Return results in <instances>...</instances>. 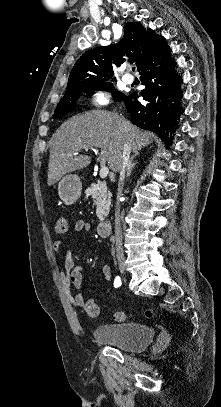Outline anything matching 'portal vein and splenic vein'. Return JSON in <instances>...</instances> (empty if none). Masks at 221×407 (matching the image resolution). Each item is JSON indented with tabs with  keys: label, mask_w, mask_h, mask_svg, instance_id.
I'll use <instances>...</instances> for the list:
<instances>
[{
	"label": "portal vein and splenic vein",
	"mask_w": 221,
	"mask_h": 407,
	"mask_svg": "<svg viewBox=\"0 0 221 407\" xmlns=\"http://www.w3.org/2000/svg\"><path fill=\"white\" fill-rule=\"evenodd\" d=\"M88 150H89V148L85 149V151H88ZM74 155H76V153ZM108 174H109L108 167L107 166H102L101 169H100V173H99L100 178L105 179L108 176Z\"/></svg>",
	"instance_id": "obj_1"
}]
</instances>
